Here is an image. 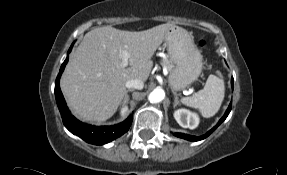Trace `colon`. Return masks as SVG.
I'll use <instances>...</instances> for the list:
<instances>
[{
    "label": "colon",
    "mask_w": 287,
    "mask_h": 175,
    "mask_svg": "<svg viewBox=\"0 0 287 175\" xmlns=\"http://www.w3.org/2000/svg\"><path fill=\"white\" fill-rule=\"evenodd\" d=\"M199 45H200L201 47L205 46V41H204V40H200V41H199Z\"/></svg>",
    "instance_id": "1"
}]
</instances>
